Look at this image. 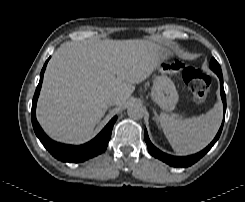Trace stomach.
<instances>
[{
	"instance_id": "0dacf381",
	"label": "stomach",
	"mask_w": 245,
	"mask_h": 202,
	"mask_svg": "<svg viewBox=\"0 0 245 202\" xmlns=\"http://www.w3.org/2000/svg\"><path fill=\"white\" fill-rule=\"evenodd\" d=\"M165 66H167L166 59L160 60L158 69L161 74L154 79L151 99L162 110L172 111L178 102L179 95L173 81L166 75Z\"/></svg>"
}]
</instances>
